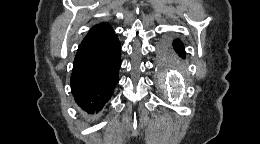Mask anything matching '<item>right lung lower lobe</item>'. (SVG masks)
<instances>
[{
  "mask_svg": "<svg viewBox=\"0 0 260 144\" xmlns=\"http://www.w3.org/2000/svg\"><path fill=\"white\" fill-rule=\"evenodd\" d=\"M120 52L115 34L79 45L70 82L75 101L88 114L99 112L113 94L119 81Z\"/></svg>",
  "mask_w": 260,
  "mask_h": 144,
  "instance_id": "obj_1",
  "label": "right lung lower lobe"
}]
</instances>
